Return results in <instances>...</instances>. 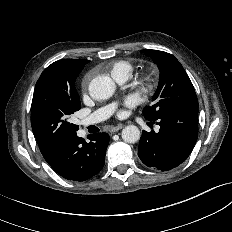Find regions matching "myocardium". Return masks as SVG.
<instances>
[{"label": "myocardium", "instance_id": "myocardium-1", "mask_svg": "<svg viewBox=\"0 0 232 232\" xmlns=\"http://www.w3.org/2000/svg\"><path fill=\"white\" fill-rule=\"evenodd\" d=\"M142 83H143V85H145L146 87H149V86L151 85L150 82H149L148 77L143 78Z\"/></svg>", "mask_w": 232, "mask_h": 232}]
</instances>
